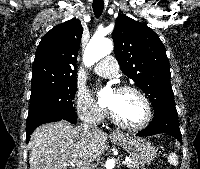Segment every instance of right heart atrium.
Here are the masks:
<instances>
[{
  "instance_id": "1",
  "label": "right heart atrium",
  "mask_w": 200,
  "mask_h": 169,
  "mask_svg": "<svg viewBox=\"0 0 200 169\" xmlns=\"http://www.w3.org/2000/svg\"><path fill=\"white\" fill-rule=\"evenodd\" d=\"M75 109L79 118L90 124L102 123L107 115L106 110L89 94L80 91L76 95Z\"/></svg>"
}]
</instances>
